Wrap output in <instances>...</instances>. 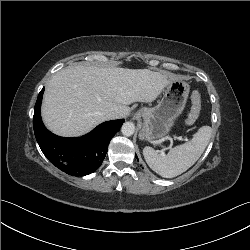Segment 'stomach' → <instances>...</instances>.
<instances>
[{"label": "stomach", "mask_w": 250, "mask_h": 250, "mask_svg": "<svg viewBox=\"0 0 250 250\" xmlns=\"http://www.w3.org/2000/svg\"><path fill=\"white\" fill-rule=\"evenodd\" d=\"M189 89L185 81L174 80L167 86L161 101L155 107H143L139 110L138 114L143 118L140 139L158 142L170 133L175 120L184 110Z\"/></svg>", "instance_id": "0dacf381"}]
</instances>
